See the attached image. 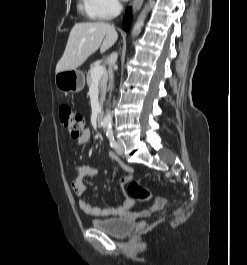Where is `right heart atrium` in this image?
<instances>
[{"label": "right heart atrium", "instance_id": "right-heart-atrium-1", "mask_svg": "<svg viewBox=\"0 0 247 265\" xmlns=\"http://www.w3.org/2000/svg\"><path fill=\"white\" fill-rule=\"evenodd\" d=\"M86 13L94 19H110L121 10L119 0H84Z\"/></svg>", "mask_w": 247, "mask_h": 265}]
</instances>
